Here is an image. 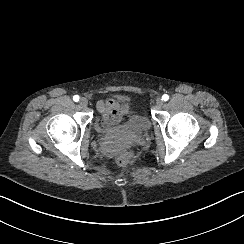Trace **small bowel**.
Listing matches in <instances>:
<instances>
[{
	"label": "small bowel",
	"instance_id": "small-bowel-1",
	"mask_svg": "<svg viewBox=\"0 0 244 244\" xmlns=\"http://www.w3.org/2000/svg\"><path fill=\"white\" fill-rule=\"evenodd\" d=\"M98 110L106 123L119 122L128 112L127 106H119L113 100L101 101L98 104Z\"/></svg>",
	"mask_w": 244,
	"mask_h": 244
}]
</instances>
